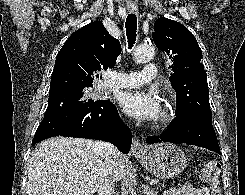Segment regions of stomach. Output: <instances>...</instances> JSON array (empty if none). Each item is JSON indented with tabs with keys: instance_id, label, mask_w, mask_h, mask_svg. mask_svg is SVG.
<instances>
[{
	"instance_id": "stomach-1",
	"label": "stomach",
	"mask_w": 245,
	"mask_h": 195,
	"mask_svg": "<svg viewBox=\"0 0 245 195\" xmlns=\"http://www.w3.org/2000/svg\"><path fill=\"white\" fill-rule=\"evenodd\" d=\"M135 157L148 172L161 179L180 174L187 165L183 150L171 143L145 146Z\"/></svg>"
}]
</instances>
